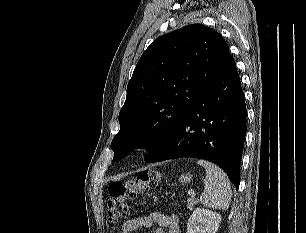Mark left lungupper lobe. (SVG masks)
<instances>
[{"instance_id": "left-lung-upper-lobe-1", "label": "left lung upper lobe", "mask_w": 306, "mask_h": 233, "mask_svg": "<svg viewBox=\"0 0 306 233\" xmlns=\"http://www.w3.org/2000/svg\"><path fill=\"white\" fill-rule=\"evenodd\" d=\"M230 55L222 36L202 24L165 34L147 48L127 86L113 161L146 147L149 162L170 139Z\"/></svg>"}]
</instances>
